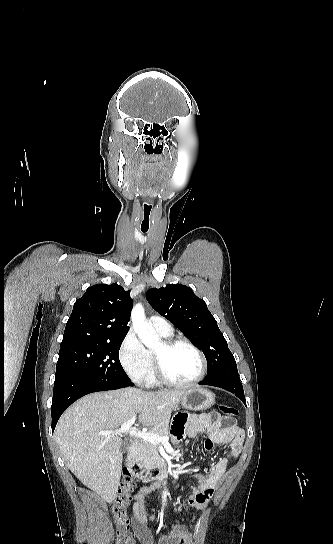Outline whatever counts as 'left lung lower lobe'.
Segmentation results:
<instances>
[{"mask_svg": "<svg viewBox=\"0 0 333 544\" xmlns=\"http://www.w3.org/2000/svg\"><path fill=\"white\" fill-rule=\"evenodd\" d=\"M199 384L210 385L223 388L233 394H235L245 405L246 400L244 396L243 386L240 382V378L235 377H222L213 380H203Z\"/></svg>", "mask_w": 333, "mask_h": 544, "instance_id": "obj_1", "label": "left lung lower lobe"}]
</instances>
